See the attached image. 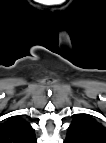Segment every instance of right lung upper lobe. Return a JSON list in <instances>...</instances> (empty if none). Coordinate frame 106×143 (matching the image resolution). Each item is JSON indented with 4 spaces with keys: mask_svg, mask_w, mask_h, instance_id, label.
Here are the masks:
<instances>
[{
    "mask_svg": "<svg viewBox=\"0 0 106 143\" xmlns=\"http://www.w3.org/2000/svg\"><path fill=\"white\" fill-rule=\"evenodd\" d=\"M35 138L31 125L20 117L0 124V143H30Z\"/></svg>",
    "mask_w": 106,
    "mask_h": 143,
    "instance_id": "obj_1",
    "label": "right lung upper lobe"
}]
</instances>
